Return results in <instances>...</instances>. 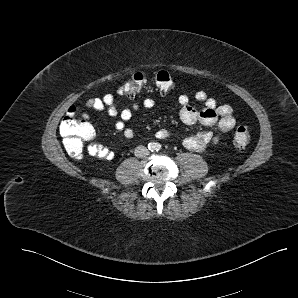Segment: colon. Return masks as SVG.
I'll return each instance as SVG.
<instances>
[{
	"label": "colon",
	"instance_id": "obj_1",
	"mask_svg": "<svg viewBox=\"0 0 298 298\" xmlns=\"http://www.w3.org/2000/svg\"><path fill=\"white\" fill-rule=\"evenodd\" d=\"M146 83L145 75L141 72L132 74L118 89L122 95L137 96ZM155 86L163 94L170 93L174 88V82L167 71H159L155 76ZM60 134L67 153L75 159H81L85 147L95 144V131L92 125L75 107H70L63 117L60 126ZM251 141V132L247 126H238L235 130L233 142L238 148H245Z\"/></svg>",
	"mask_w": 298,
	"mask_h": 298
}]
</instances>
